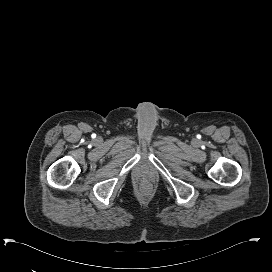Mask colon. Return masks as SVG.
Wrapping results in <instances>:
<instances>
[{"label":"colon","mask_w":272,"mask_h":272,"mask_svg":"<svg viewBox=\"0 0 272 272\" xmlns=\"http://www.w3.org/2000/svg\"><path fill=\"white\" fill-rule=\"evenodd\" d=\"M142 192L143 193H149L150 191H151V188H150V186L149 185H144V186H142Z\"/></svg>","instance_id":"obj_1"}]
</instances>
